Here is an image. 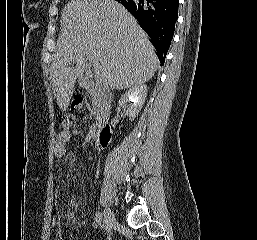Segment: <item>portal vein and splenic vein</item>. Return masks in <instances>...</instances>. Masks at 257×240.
<instances>
[{"label": "portal vein and splenic vein", "mask_w": 257, "mask_h": 240, "mask_svg": "<svg viewBox=\"0 0 257 240\" xmlns=\"http://www.w3.org/2000/svg\"><path fill=\"white\" fill-rule=\"evenodd\" d=\"M87 59L89 60V63H90L91 65H93V73H94V75H95L97 81H98V82H101V81L99 80L100 77H99V64H98V62H97L96 59H95L94 57H92V56H88Z\"/></svg>", "instance_id": "portal-vein-and-splenic-vein-1"}]
</instances>
